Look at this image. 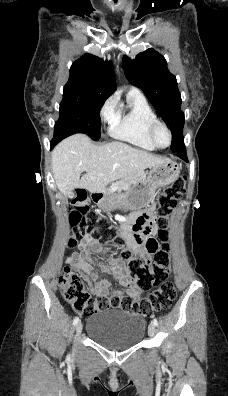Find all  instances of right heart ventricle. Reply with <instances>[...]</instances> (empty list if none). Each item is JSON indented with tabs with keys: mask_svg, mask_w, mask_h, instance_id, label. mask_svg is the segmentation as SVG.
<instances>
[{
	"mask_svg": "<svg viewBox=\"0 0 228 396\" xmlns=\"http://www.w3.org/2000/svg\"><path fill=\"white\" fill-rule=\"evenodd\" d=\"M157 120L156 113L140 93L129 92L125 108L117 109L109 126L114 138L126 141L141 149L153 151L156 148L148 138L147 129Z\"/></svg>",
	"mask_w": 228,
	"mask_h": 396,
	"instance_id": "right-heart-ventricle-1",
	"label": "right heart ventricle"
}]
</instances>
